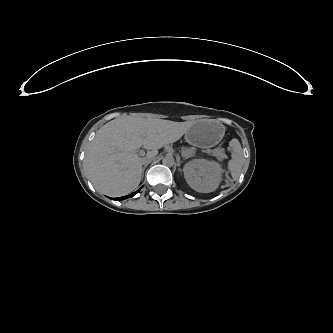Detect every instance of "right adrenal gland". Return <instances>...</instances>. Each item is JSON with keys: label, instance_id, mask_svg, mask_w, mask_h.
Segmentation results:
<instances>
[{"label": "right adrenal gland", "instance_id": "obj_1", "mask_svg": "<svg viewBox=\"0 0 333 333\" xmlns=\"http://www.w3.org/2000/svg\"><path fill=\"white\" fill-rule=\"evenodd\" d=\"M146 167H147V165H145V166L143 167V169H142V175H144V171H145Z\"/></svg>", "mask_w": 333, "mask_h": 333}]
</instances>
